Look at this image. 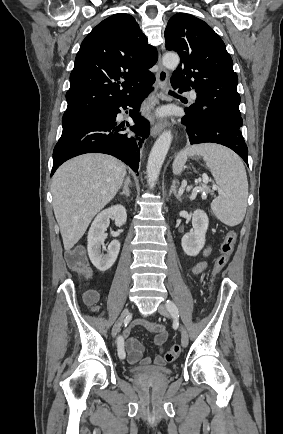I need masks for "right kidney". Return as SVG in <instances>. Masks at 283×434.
<instances>
[{
  "instance_id": "ca27d5eb",
  "label": "right kidney",
  "mask_w": 283,
  "mask_h": 434,
  "mask_svg": "<svg viewBox=\"0 0 283 434\" xmlns=\"http://www.w3.org/2000/svg\"><path fill=\"white\" fill-rule=\"evenodd\" d=\"M111 217L114 218L116 226L124 225L127 220L125 207L115 205L100 212L94 219L88 232V255L92 264L101 272H105L113 266L120 250V243L117 240L112 241L107 249L104 245L107 238L105 231L110 224ZM101 246L103 250L107 251V254L101 253Z\"/></svg>"
}]
</instances>
